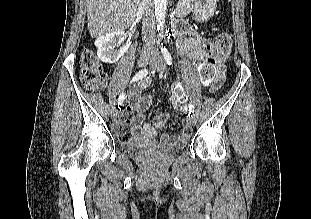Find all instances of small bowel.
<instances>
[{"mask_svg":"<svg viewBox=\"0 0 311 219\" xmlns=\"http://www.w3.org/2000/svg\"><path fill=\"white\" fill-rule=\"evenodd\" d=\"M181 54L193 61L200 58V38L196 34H186L181 37L179 42ZM151 83L150 78H142L138 84L129 91V106L123 111L118 126L120 135H129V138L136 131H139L143 138L149 139L157 135L158 130H165L170 121L177 118V115L172 112L156 115L151 121H145V113L152 104L150 95H141V90L147 88ZM210 90L215 92L219 90L223 84V78L220 75L214 77L209 83ZM176 99L183 101L185 94L182 91L180 84L176 85ZM186 110L185 107H183ZM127 127V129H123ZM189 137V131L185 128L183 133L178 136H167L170 141L183 143Z\"/></svg>","mask_w":311,"mask_h":219,"instance_id":"obj_1","label":"small bowel"}]
</instances>
